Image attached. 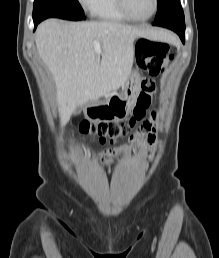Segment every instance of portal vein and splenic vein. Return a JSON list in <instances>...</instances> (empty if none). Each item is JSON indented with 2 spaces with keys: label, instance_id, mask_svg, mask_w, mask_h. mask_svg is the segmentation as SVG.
Masks as SVG:
<instances>
[{
  "label": "portal vein and splenic vein",
  "instance_id": "1",
  "mask_svg": "<svg viewBox=\"0 0 219 258\" xmlns=\"http://www.w3.org/2000/svg\"><path fill=\"white\" fill-rule=\"evenodd\" d=\"M93 45H94L95 51H96L98 54H100V53H101V45H100V43H99L98 41H94V42H93Z\"/></svg>",
  "mask_w": 219,
  "mask_h": 258
}]
</instances>
